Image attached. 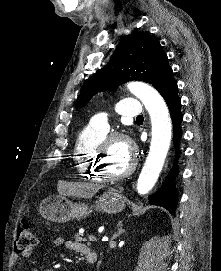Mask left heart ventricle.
Listing matches in <instances>:
<instances>
[{
  "mask_svg": "<svg viewBox=\"0 0 221 271\" xmlns=\"http://www.w3.org/2000/svg\"><path fill=\"white\" fill-rule=\"evenodd\" d=\"M122 156H101L102 164H106L108 175H123V168H128L129 164H133V159H128L130 152H124L121 149Z\"/></svg>",
  "mask_w": 221,
  "mask_h": 271,
  "instance_id": "1",
  "label": "left heart ventricle"
}]
</instances>
